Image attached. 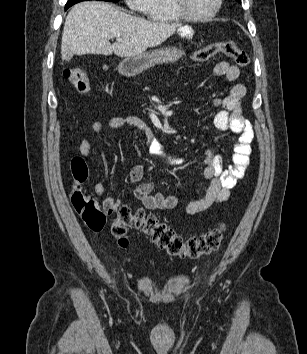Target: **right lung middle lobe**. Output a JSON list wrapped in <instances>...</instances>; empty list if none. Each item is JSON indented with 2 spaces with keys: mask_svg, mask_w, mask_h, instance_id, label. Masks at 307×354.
<instances>
[{
  "mask_svg": "<svg viewBox=\"0 0 307 354\" xmlns=\"http://www.w3.org/2000/svg\"><path fill=\"white\" fill-rule=\"evenodd\" d=\"M81 1H85V0H68L65 5V9H68L70 6L74 5L75 3L81 2ZM97 1H100V0H97ZM102 1L117 2L119 0H102Z\"/></svg>",
  "mask_w": 307,
  "mask_h": 354,
  "instance_id": "obj_1",
  "label": "right lung middle lobe"
}]
</instances>
